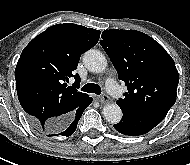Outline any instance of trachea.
<instances>
[{"instance_id": "3493384b", "label": "trachea", "mask_w": 190, "mask_h": 165, "mask_svg": "<svg viewBox=\"0 0 190 165\" xmlns=\"http://www.w3.org/2000/svg\"><path fill=\"white\" fill-rule=\"evenodd\" d=\"M82 91L88 92V93H94L96 95L101 94V88L98 84L95 83H87L81 88Z\"/></svg>"}]
</instances>
